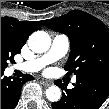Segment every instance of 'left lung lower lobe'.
Here are the masks:
<instances>
[{
    "mask_svg": "<svg viewBox=\"0 0 109 109\" xmlns=\"http://www.w3.org/2000/svg\"><path fill=\"white\" fill-rule=\"evenodd\" d=\"M74 88L67 89L62 83L60 86L62 98L52 103L53 109H99L109 96V76L100 73L81 74L76 77Z\"/></svg>",
    "mask_w": 109,
    "mask_h": 109,
    "instance_id": "1",
    "label": "left lung lower lobe"
}]
</instances>
